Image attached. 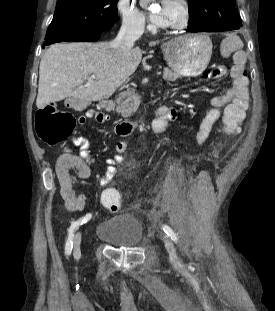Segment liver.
<instances>
[{"mask_svg": "<svg viewBox=\"0 0 275 311\" xmlns=\"http://www.w3.org/2000/svg\"><path fill=\"white\" fill-rule=\"evenodd\" d=\"M141 59L139 47L121 53L111 42L52 45L40 62L36 106L43 109L71 96L86 103L109 98L136 71ZM89 75L96 78L83 85V77Z\"/></svg>", "mask_w": 275, "mask_h": 311, "instance_id": "liver-1", "label": "liver"}]
</instances>
